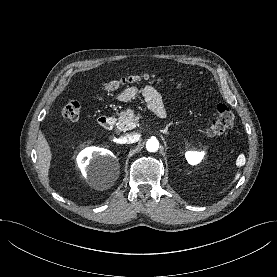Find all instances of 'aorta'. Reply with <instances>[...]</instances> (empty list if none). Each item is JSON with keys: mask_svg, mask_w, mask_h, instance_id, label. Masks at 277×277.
<instances>
[{"mask_svg": "<svg viewBox=\"0 0 277 277\" xmlns=\"http://www.w3.org/2000/svg\"><path fill=\"white\" fill-rule=\"evenodd\" d=\"M159 148V141L156 138H151L146 143V149L149 152H156Z\"/></svg>", "mask_w": 277, "mask_h": 277, "instance_id": "762f6f07", "label": "aorta"}]
</instances>
